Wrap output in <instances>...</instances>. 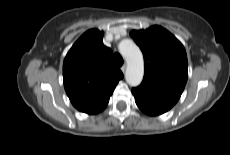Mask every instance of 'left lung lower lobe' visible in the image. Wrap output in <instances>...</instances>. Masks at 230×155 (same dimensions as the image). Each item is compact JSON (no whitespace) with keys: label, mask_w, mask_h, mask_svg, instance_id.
<instances>
[{"label":"left lung lower lobe","mask_w":230,"mask_h":155,"mask_svg":"<svg viewBox=\"0 0 230 155\" xmlns=\"http://www.w3.org/2000/svg\"><path fill=\"white\" fill-rule=\"evenodd\" d=\"M133 95L137 106L147 115L157 116L171 109V107H169L168 105H165L156 100H152L150 98L135 93H133Z\"/></svg>","instance_id":"1"}]
</instances>
